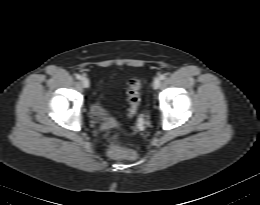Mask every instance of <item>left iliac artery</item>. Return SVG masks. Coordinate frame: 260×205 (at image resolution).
Here are the masks:
<instances>
[{
    "mask_svg": "<svg viewBox=\"0 0 260 205\" xmlns=\"http://www.w3.org/2000/svg\"><path fill=\"white\" fill-rule=\"evenodd\" d=\"M165 78H166V75H165V74L160 75V79H161V80H164Z\"/></svg>",
    "mask_w": 260,
    "mask_h": 205,
    "instance_id": "left-iliac-artery-1",
    "label": "left iliac artery"
}]
</instances>
